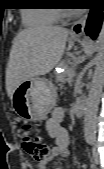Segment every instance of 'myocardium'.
I'll return each instance as SVG.
<instances>
[{"label":"myocardium","mask_w":104,"mask_h":169,"mask_svg":"<svg viewBox=\"0 0 104 169\" xmlns=\"http://www.w3.org/2000/svg\"><path fill=\"white\" fill-rule=\"evenodd\" d=\"M58 11L60 15H63V16H68L70 14L69 10L59 9Z\"/></svg>","instance_id":"1"}]
</instances>
